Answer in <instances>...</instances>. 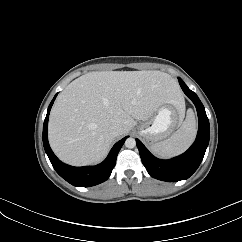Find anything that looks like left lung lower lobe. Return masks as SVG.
<instances>
[{"label":"left lung lower lobe","instance_id":"left-lung-lower-lobe-1","mask_svg":"<svg viewBox=\"0 0 242 242\" xmlns=\"http://www.w3.org/2000/svg\"><path fill=\"white\" fill-rule=\"evenodd\" d=\"M179 83L184 93L195 104L198 113L199 129L193 145L180 156L170 160H160L155 158L140 140L136 139L139 154L147 172L156 179L168 182L187 179L197 170L204 157L210 138L209 121L203 104L198 96L180 78Z\"/></svg>","mask_w":242,"mask_h":242}]
</instances>
